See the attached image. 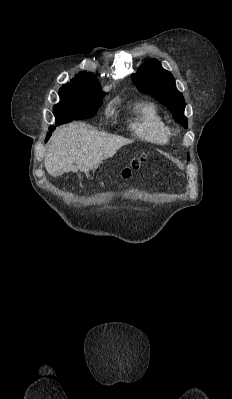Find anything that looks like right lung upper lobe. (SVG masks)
I'll use <instances>...</instances> for the list:
<instances>
[{
    "label": "right lung upper lobe",
    "mask_w": 232,
    "mask_h": 399,
    "mask_svg": "<svg viewBox=\"0 0 232 399\" xmlns=\"http://www.w3.org/2000/svg\"><path fill=\"white\" fill-rule=\"evenodd\" d=\"M59 94L105 95L96 77L88 72H80L70 83L63 85Z\"/></svg>",
    "instance_id": "cb5924a9"
}]
</instances>
